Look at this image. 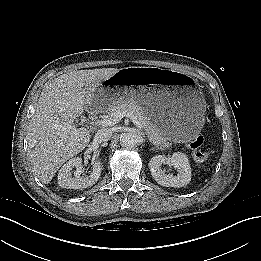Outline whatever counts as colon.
<instances>
[{
	"mask_svg": "<svg viewBox=\"0 0 261 261\" xmlns=\"http://www.w3.org/2000/svg\"><path fill=\"white\" fill-rule=\"evenodd\" d=\"M203 142V137L200 134L195 135L190 141L189 147L196 161H204L210 156V151L202 149Z\"/></svg>",
	"mask_w": 261,
	"mask_h": 261,
	"instance_id": "colon-1",
	"label": "colon"
}]
</instances>
